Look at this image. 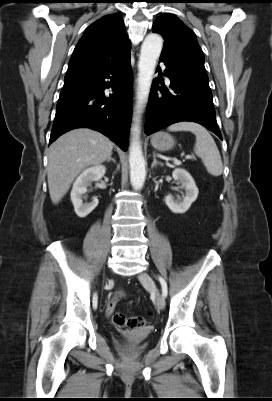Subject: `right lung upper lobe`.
Masks as SVG:
<instances>
[{"label":"right lung upper lobe","mask_w":272,"mask_h":401,"mask_svg":"<svg viewBox=\"0 0 272 401\" xmlns=\"http://www.w3.org/2000/svg\"><path fill=\"white\" fill-rule=\"evenodd\" d=\"M130 54V41L118 14L106 15L92 23L77 43L65 76L68 86L105 70Z\"/></svg>","instance_id":"right-lung-upper-lobe-1"}]
</instances>
